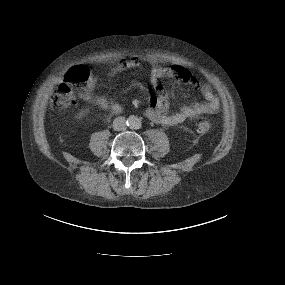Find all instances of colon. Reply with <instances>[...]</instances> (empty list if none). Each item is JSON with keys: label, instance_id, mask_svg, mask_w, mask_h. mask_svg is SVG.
I'll use <instances>...</instances> for the list:
<instances>
[{"label": "colon", "instance_id": "5ec220e1", "mask_svg": "<svg viewBox=\"0 0 285 285\" xmlns=\"http://www.w3.org/2000/svg\"><path fill=\"white\" fill-rule=\"evenodd\" d=\"M177 73L183 72V68L176 66ZM90 77L89 68L79 65L72 68L65 77V80L58 86L51 97V107L56 110L66 109L75 104L74 89L85 84ZM211 128V124L207 121H199L196 125V131L199 134L207 133Z\"/></svg>", "mask_w": 285, "mask_h": 285}]
</instances>
